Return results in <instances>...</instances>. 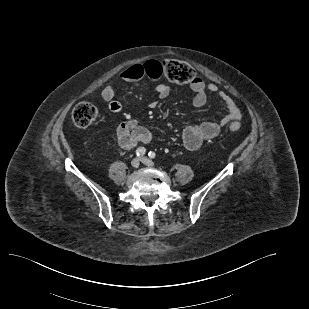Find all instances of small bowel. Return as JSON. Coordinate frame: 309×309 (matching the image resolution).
<instances>
[{
    "instance_id": "1",
    "label": "small bowel",
    "mask_w": 309,
    "mask_h": 309,
    "mask_svg": "<svg viewBox=\"0 0 309 309\" xmlns=\"http://www.w3.org/2000/svg\"><path fill=\"white\" fill-rule=\"evenodd\" d=\"M150 62L135 64L125 68L119 74V79L124 82H136L144 77L158 80L161 76L160 70L156 66H151ZM154 89L160 99H166L170 95V87L165 83H158ZM191 89L194 92V106H204L207 102L208 93H211L216 94L228 110V113L219 121L203 122L198 125L188 126L183 130L182 138L185 147L188 150L196 151L205 141L217 137L224 126L232 122H238L242 118V112L233 98L225 91L220 90L215 83L206 84L202 79L198 78L196 82L191 84ZM101 95L108 103V108L111 112L118 113L122 110V104L115 99L116 89L114 86L105 87ZM155 105V102L149 104L151 108L155 107ZM117 139L121 148L130 150L138 143L150 142L152 134L136 120L126 119L117 127Z\"/></svg>"
}]
</instances>
